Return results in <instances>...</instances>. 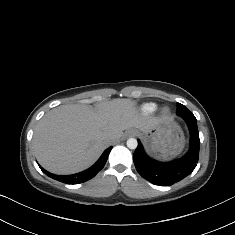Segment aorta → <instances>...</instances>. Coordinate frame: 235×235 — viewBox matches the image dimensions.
<instances>
[{
    "label": "aorta",
    "instance_id": "1",
    "mask_svg": "<svg viewBox=\"0 0 235 235\" xmlns=\"http://www.w3.org/2000/svg\"><path fill=\"white\" fill-rule=\"evenodd\" d=\"M137 146H138V142H137V140L135 138H129L127 140V147L129 149L134 150V149L137 148Z\"/></svg>",
    "mask_w": 235,
    "mask_h": 235
}]
</instances>
